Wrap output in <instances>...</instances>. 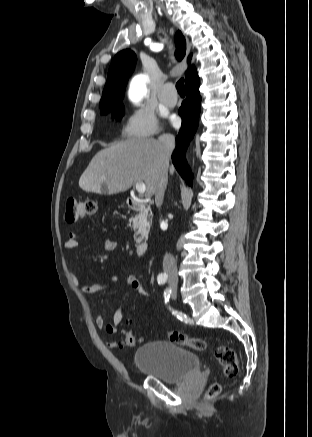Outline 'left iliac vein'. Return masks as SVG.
<instances>
[{
    "label": "left iliac vein",
    "instance_id": "1",
    "mask_svg": "<svg viewBox=\"0 0 312 437\" xmlns=\"http://www.w3.org/2000/svg\"><path fill=\"white\" fill-rule=\"evenodd\" d=\"M173 297L175 298V297H176V295L174 294V295H173Z\"/></svg>",
    "mask_w": 312,
    "mask_h": 437
}]
</instances>
